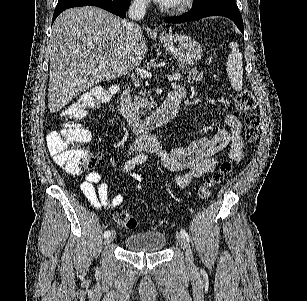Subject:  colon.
<instances>
[{"label":"colon","instance_id":"5ec220e1","mask_svg":"<svg viewBox=\"0 0 307 301\" xmlns=\"http://www.w3.org/2000/svg\"><path fill=\"white\" fill-rule=\"evenodd\" d=\"M113 94L114 88L95 87L82 93L61 111V129L48 135L47 144L56 163L68 172L78 174L97 164L98 156L85 148L91 136L81 120L88 115L90 110L106 103ZM235 103L238 111L244 116L245 138L253 142L258 137L260 124L254 95L250 90L243 89L237 94ZM231 168L230 161H223L200 186L199 197L202 199L211 197L214 187L223 180ZM114 220L124 228L134 229L137 226V220L125 210L116 211Z\"/></svg>","mask_w":307,"mask_h":301}]
</instances>
